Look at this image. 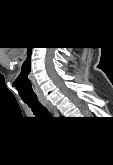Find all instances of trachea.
<instances>
[{
    "label": "trachea",
    "mask_w": 113,
    "mask_h": 165,
    "mask_svg": "<svg viewBox=\"0 0 113 165\" xmlns=\"http://www.w3.org/2000/svg\"><path fill=\"white\" fill-rule=\"evenodd\" d=\"M38 117H51L48 110L38 100H23Z\"/></svg>",
    "instance_id": "1"
}]
</instances>
